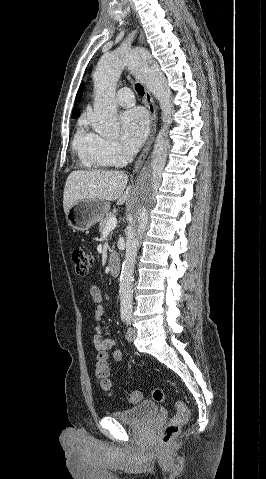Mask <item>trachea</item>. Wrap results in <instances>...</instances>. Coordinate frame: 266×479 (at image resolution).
<instances>
[{
    "label": "trachea",
    "mask_w": 266,
    "mask_h": 479,
    "mask_svg": "<svg viewBox=\"0 0 266 479\" xmlns=\"http://www.w3.org/2000/svg\"><path fill=\"white\" fill-rule=\"evenodd\" d=\"M135 89L137 91V93L140 95V96H143L144 95V88L141 84L137 83L135 85Z\"/></svg>",
    "instance_id": "1"
}]
</instances>
